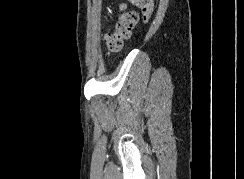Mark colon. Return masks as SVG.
Instances as JSON below:
<instances>
[{
  "mask_svg": "<svg viewBox=\"0 0 244 179\" xmlns=\"http://www.w3.org/2000/svg\"><path fill=\"white\" fill-rule=\"evenodd\" d=\"M128 3H134L143 16L141 20L143 22H146L153 15L154 4L152 0H128ZM121 10L123 12L117 23L116 31L107 33L104 36L105 45L111 52H117L123 48L124 41L130 37L139 20V15L136 11L126 10L125 6H122Z\"/></svg>",
  "mask_w": 244,
  "mask_h": 179,
  "instance_id": "obj_1",
  "label": "colon"
}]
</instances>
